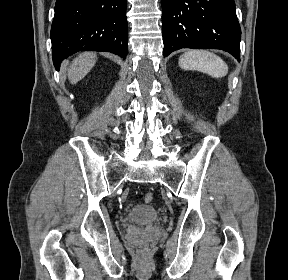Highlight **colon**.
<instances>
[{
    "mask_svg": "<svg viewBox=\"0 0 288 280\" xmlns=\"http://www.w3.org/2000/svg\"><path fill=\"white\" fill-rule=\"evenodd\" d=\"M153 199H154V197H153V194L152 193H146L145 195H144V201L146 202V203H152L153 202Z\"/></svg>",
    "mask_w": 288,
    "mask_h": 280,
    "instance_id": "colon-1",
    "label": "colon"
}]
</instances>
